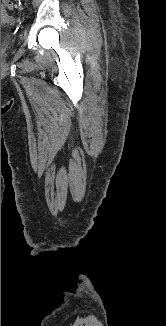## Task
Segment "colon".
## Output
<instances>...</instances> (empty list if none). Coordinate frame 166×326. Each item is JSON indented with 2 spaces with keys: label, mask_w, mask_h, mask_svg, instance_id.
Instances as JSON below:
<instances>
[{
  "label": "colon",
  "mask_w": 166,
  "mask_h": 326,
  "mask_svg": "<svg viewBox=\"0 0 166 326\" xmlns=\"http://www.w3.org/2000/svg\"><path fill=\"white\" fill-rule=\"evenodd\" d=\"M1 6L12 9L14 7L11 0H1Z\"/></svg>",
  "instance_id": "colon-1"
}]
</instances>
